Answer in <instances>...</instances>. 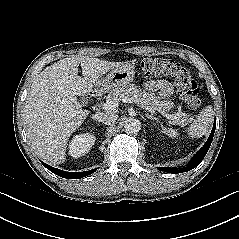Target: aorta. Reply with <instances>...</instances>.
<instances>
[{
    "instance_id": "aorta-1",
    "label": "aorta",
    "mask_w": 239,
    "mask_h": 239,
    "mask_svg": "<svg viewBox=\"0 0 239 239\" xmlns=\"http://www.w3.org/2000/svg\"><path fill=\"white\" fill-rule=\"evenodd\" d=\"M141 129V122L136 118H128L124 123L126 133H137Z\"/></svg>"
}]
</instances>
